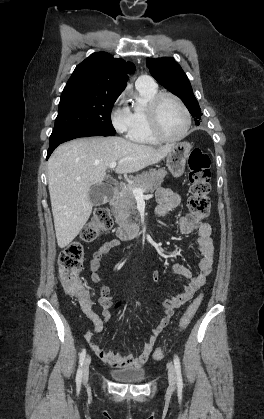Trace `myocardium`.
<instances>
[{
    "mask_svg": "<svg viewBox=\"0 0 264 419\" xmlns=\"http://www.w3.org/2000/svg\"><path fill=\"white\" fill-rule=\"evenodd\" d=\"M165 98H170L172 100H174L179 107L181 108V110L184 113L185 116V127L182 131V133L178 136L175 137H169L167 135H165L161 129L160 126V120H159V108L160 105L162 103V101ZM147 113H148V119H149V125H150V130L152 135L161 142H168V143H173V142H178L182 139H184L191 127V114L190 111L188 110L187 106L185 105V103L175 94L171 93V92H158L156 93L149 101L148 106H147Z\"/></svg>",
    "mask_w": 264,
    "mask_h": 419,
    "instance_id": "f54148a6",
    "label": "myocardium"
}]
</instances>
